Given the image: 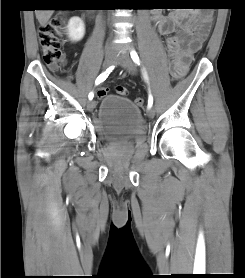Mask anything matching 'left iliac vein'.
I'll use <instances>...</instances> for the list:
<instances>
[{
	"instance_id": "left-iliac-vein-1",
	"label": "left iliac vein",
	"mask_w": 245,
	"mask_h": 278,
	"mask_svg": "<svg viewBox=\"0 0 245 278\" xmlns=\"http://www.w3.org/2000/svg\"><path fill=\"white\" fill-rule=\"evenodd\" d=\"M117 61L119 62V64L126 69L127 71L131 72V73H135L136 72V66L135 64L132 62V60L130 59L128 53H124L122 54ZM147 115L149 118H153L155 115V110L152 107H148L147 109Z\"/></svg>"
}]
</instances>
